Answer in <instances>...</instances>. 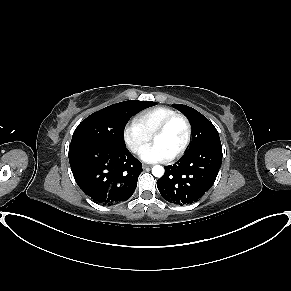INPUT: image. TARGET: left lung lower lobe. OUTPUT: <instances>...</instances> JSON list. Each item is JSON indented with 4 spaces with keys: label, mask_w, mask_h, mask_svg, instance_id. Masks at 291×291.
Listing matches in <instances>:
<instances>
[{
    "label": "left lung lower lobe",
    "mask_w": 291,
    "mask_h": 291,
    "mask_svg": "<svg viewBox=\"0 0 291 291\" xmlns=\"http://www.w3.org/2000/svg\"><path fill=\"white\" fill-rule=\"evenodd\" d=\"M221 163L220 140L196 147L175 164L165 166L164 175L157 181L158 190L170 203L196 202L214 184Z\"/></svg>",
    "instance_id": "left-lung-lower-lobe-1"
}]
</instances>
